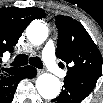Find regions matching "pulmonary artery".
Segmentation results:
<instances>
[{"mask_svg": "<svg viewBox=\"0 0 103 103\" xmlns=\"http://www.w3.org/2000/svg\"><path fill=\"white\" fill-rule=\"evenodd\" d=\"M43 60L48 69L57 76L63 77L66 72L59 68L55 59V47L52 40H49L43 47L42 51Z\"/></svg>", "mask_w": 103, "mask_h": 103, "instance_id": "1", "label": "pulmonary artery"}]
</instances>
